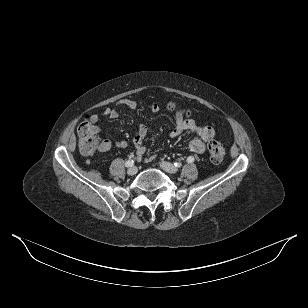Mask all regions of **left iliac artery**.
<instances>
[{"label": "left iliac artery", "instance_id": "obj_1", "mask_svg": "<svg viewBox=\"0 0 308 308\" xmlns=\"http://www.w3.org/2000/svg\"><path fill=\"white\" fill-rule=\"evenodd\" d=\"M193 161H194V157L189 156V157L187 158V162H188V163H192ZM174 165H175L176 167H180V166H181V163L175 162Z\"/></svg>", "mask_w": 308, "mask_h": 308}]
</instances>
